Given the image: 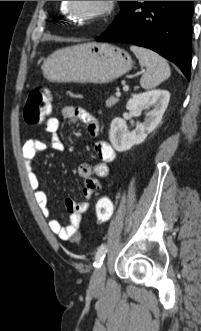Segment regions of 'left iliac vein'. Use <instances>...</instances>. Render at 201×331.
Here are the masks:
<instances>
[{
  "label": "left iliac vein",
  "instance_id": "obj_1",
  "mask_svg": "<svg viewBox=\"0 0 201 331\" xmlns=\"http://www.w3.org/2000/svg\"><path fill=\"white\" fill-rule=\"evenodd\" d=\"M106 279V266L105 262L94 272L90 280V289L98 291L103 289Z\"/></svg>",
  "mask_w": 201,
  "mask_h": 331
}]
</instances>
